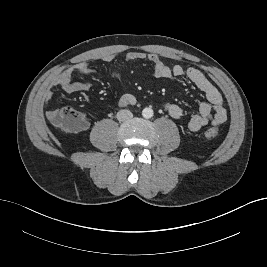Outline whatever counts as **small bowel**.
Instances as JSON below:
<instances>
[{"label": "small bowel", "mask_w": 267, "mask_h": 267, "mask_svg": "<svg viewBox=\"0 0 267 267\" xmlns=\"http://www.w3.org/2000/svg\"><path fill=\"white\" fill-rule=\"evenodd\" d=\"M100 59L106 62H111L115 60V55L103 54ZM125 60L127 62L142 60L150 62L154 67V75L156 78L168 79L172 77H186L205 94L206 101L200 104L198 112L193 114L188 121V128L191 131H198L208 124L218 126L226 121L227 111L221 93L200 70L193 67L185 69L178 64L171 67L165 64L157 54L146 53L142 51L128 52L125 55ZM74 74L93 75L95 74V70L86 62L76 63L75 65L59 73L53 79V86L59 87L67 93L88 91L91 87V84L87 81L73 82L72 78ZM111 76L116 80H120L121 78V74L118 71H113ZM44 99L47 102L52 101L53 94L50 90L45 92ZM117 103L120 107L134 105L136 103V98L130 93L123 92L120 95ZM163 108L174 119H180L185 115L184 108L175 103H165ZM56 111L57 109L55 108L48 110L46 112L47 118L51 120ZM86 126L87 122L84 119V125L82 129H84Z\"/></svg>", "instance_id": "obj_1"}]
</instances>
